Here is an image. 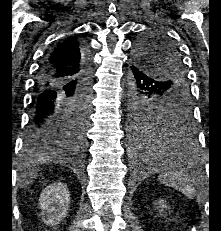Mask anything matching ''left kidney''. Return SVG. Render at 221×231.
I'll use <instances>...</instances> for the list:
<instances>
[{"mask_svg": "<svg viewBox=\"0 0 221 231\" xmlns=\"http://www.w3.org/2000/svg\"><path fill=\"white\" fill-rule=\"evenodd\" d=\"M158 204V211H159V215L162 216L164 213V210L168 208V205L166 204V200H159L157 201Z\"/></svg>", "mask_w": 221, "mask_h": 231, "instance_id": "left-kidney-1", "label": "left kidney"}]
</instances>
